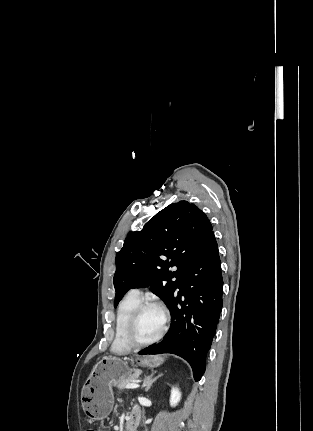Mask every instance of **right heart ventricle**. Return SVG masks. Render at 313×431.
<instances>
[{"instance_id":"e07e8e85","label":"right heart ventricle","mask_w":313,"mask_h":431,"mask_svg":"<svg viewBox=\"0 0 313 431\" xmlns=\"http://www.w3.org/2000/svg\"><path fill=\"white\" fill-rule=\"evenodd\" d=\"M141 302V298L129 293L119 302L115 317V334L112 342V351L116 353L128 352L132 347L125 340V331L128 320L134 308Z\"/></svg>"}]
</instances>
